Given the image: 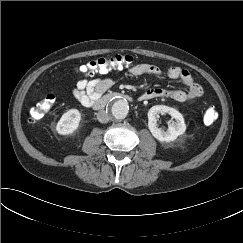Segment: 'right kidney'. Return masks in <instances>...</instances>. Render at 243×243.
Returning a JSON list of instances; mask_svg holds the SVG:
<instances>
[{"label": "right kidney", "mask_w": 243, "mask_h": 243, "mask_svg": "<svg viewBox=\"0 0 243 243\" xmlns=\"http://www.w3.org/2000/svg\"><path fill=\"white\" fill-rule=\"evenodd\" d=\"M81 114L77 109L65 112L56 125V131L61 135L72 134L79 126Z\"/></svg>", "instance_id": "ca27d5eb"}]
</instances>
